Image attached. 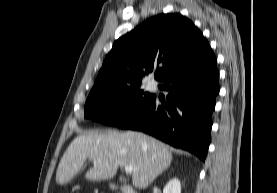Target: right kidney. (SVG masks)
<instances>
[{
  "mask_svg": "<svg viewBox=\"0 0 277 193\" xmlns=\"http://www.w3.org/2000/svg\"><path fill=\"white\" fill-rule=\"evenodd\" d=\"M163 193H181V184L177 178L170 180L163 189Z\"/></svg>",
  "mask_w": 277,
  "mask_h": 193,
  "instance_id": "1",
  "label": "right kidney"
}]
</instances>
